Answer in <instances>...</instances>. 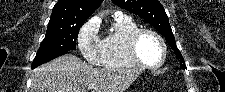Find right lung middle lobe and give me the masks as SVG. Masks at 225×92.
Wrapping results in <instances>:
<instances>
[{
    "instance_id": "obj_1",
    "label": "right lung middle lobe",
    "mask_w": 225,
    "mask_h": 92,
    "mask_svg": "<svg viewBox=\"0 0 225 92\" xmlns=\"http://www.w3.org/2000/svg\"><path fill=\"white\" fill-rule=\"evenodd\" d=\"M85 21L74 20L63 25H48L45 38L41 42L32 69L56 57L76 49V38Z\"/></svg>"
}]
</instances>
